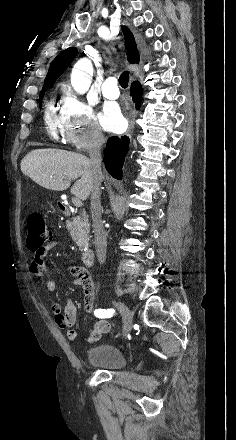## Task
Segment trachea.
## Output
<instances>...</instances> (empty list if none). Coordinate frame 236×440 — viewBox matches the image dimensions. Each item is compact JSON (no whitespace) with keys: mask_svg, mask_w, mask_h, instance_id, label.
<instances>
[{"mask_svg":"<svg viewBox=\"0 0 236 440\" xmlns=\"http://www.w3.org/2000/svg\"><path fill=\"white\" fill-rule=\"evenodd\" d=\"M129 82V72L124 71L119 77V84L122 88H127Z\"/></svg>","mask_w":236,"mask_h":440,"instance_id":"trachea-1","label":"trachea"}]
</instances>
